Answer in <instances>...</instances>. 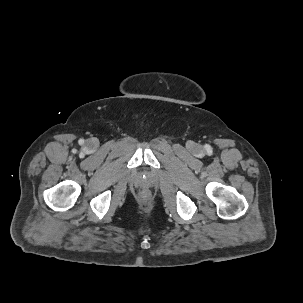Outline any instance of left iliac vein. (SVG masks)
<instances>
[{
  "label": "left iliac vein",
  "instance_id": "1",
  "mask_svg": "<svg viewBox=\"0 0 303 303\" xmlns=\"http://www.w3.org/2000/svg\"><path fill=\"white\" fill-rule=\"evenodd\" d=\"M200 150V147L199 146H196L195 147V151H199Z\"/></svg>",
  "mask_w": 303,
  "mask_h": 303
}]
</instances>
